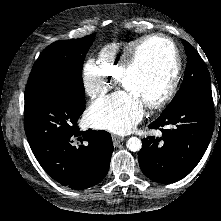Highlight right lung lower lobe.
Instances as JSON below:
<instances>
[{
    "label": "right lung lower lobe",
    "mask_w": 221,
    "mask_h": 221,
    "mask_svg": "<svg viewBox=\"0 0 221 221\" xmlns=\"http://www.w3.org/2000/svg\"><path fill=\"white\" fill-rule=\"evenodd\" d=\"M85 96L64 82L48 85L25 101L28 142L46 173L72 189H86L108 172L113 143L106 131H80Z\"/></svg>",
    "instance_id": "98d812e1"
}]
</instances>
